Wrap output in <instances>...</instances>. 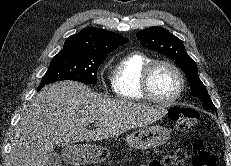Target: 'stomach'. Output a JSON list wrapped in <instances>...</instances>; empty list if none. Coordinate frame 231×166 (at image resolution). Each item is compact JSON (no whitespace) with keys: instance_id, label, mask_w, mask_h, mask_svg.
Instances as JSON below:
<instances>
[{"instance_id":"stomach-1","label":"stomach","mask_w":231,"mask_h":166,"mask_svg":"<svg viewBox=\"0 0 231 166\" xmlns=\"http://www.w3.org/2000/svg\"><path fill=\"white\" fill-rule=\"evenodd\" d=\"M170 131L161 125L146 126L131 133L127 143L134 149L147 150L165 144ZM109 151L100 145L80 144L67 146L63 150V158L71 164H95L108 158Z\"/></svg>"}]
</instances>
